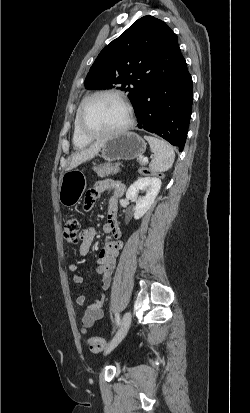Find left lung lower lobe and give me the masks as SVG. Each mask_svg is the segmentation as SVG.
Wrapping results in <instances>:
<instances>
[{"label":"left lung lower lobe","instance_id":"obj_1","mask_svg":"<svg viewBox=\"0 0 250 413\" xmlns=\"http://www.w3.org/2000/svg\"><path fill=\"white\" fill-rule=\"evenodd\" d=\"M192 102V78L176 38L167 49L162 71L144 83L133 104L137 126L163 137L182 151Z\"/></svg>","mask_w":250,"mask_h":413}]
</instances>
